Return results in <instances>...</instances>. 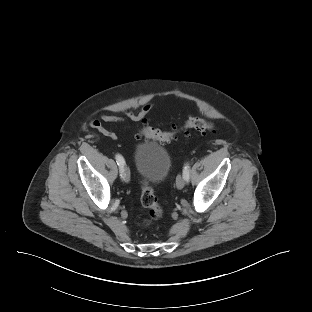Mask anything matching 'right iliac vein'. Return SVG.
<instances>
[{
  "label": "right iliac vein",
  "instance_id": "obj_1",
  "mask_svg": "<svg viewBox=\"0 0 312 312\" xmlns=\"http://www.w3.org/2000/svg\"><path fill=\"white\" fill-rule=\"evenodd\" d=\"M122 177L123 179L128 182L130 180V172H129V169L127 166H125L123 168V171H122Z\"/></svg>",
  "mask_w": 312,
  "mask_h": 312
}]
</instances>
